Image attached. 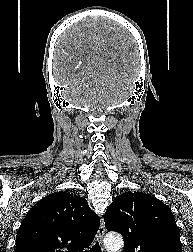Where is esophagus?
Returning a JSON list of instances; mask_svg holds the SVG:
<instances>
[{"label":"esophagus","instance_id":"1","mask_svg":"<svg viewBox=\"0 0 193 252\" xmlns=\"http://www.w3.org/2000/svg\"><path fill=\"white\" fill-rule=\"evenodd\" d=\"M104 234H105V223H104V220L101 219L99 230H98V233H97V239L101 244H102V241H103Z\"/></svg>","mask_w":193,"mask_h":252}]
</instances>
